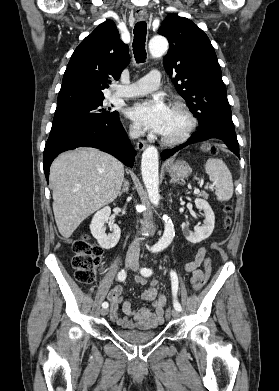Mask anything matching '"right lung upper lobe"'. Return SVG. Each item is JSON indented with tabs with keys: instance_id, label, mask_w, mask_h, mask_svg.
Segmentation results:
<instances>
[{
	"instance_id": "cb5924a9",
	"label": "right lung upper lobe",
	"mask_w": 279,
	"mask_h": 391,
	"mask_svg": "<svg viewBox=\"0 0 279 391\" xmlns=\"http://www.w3.org/2000/svg\"><path fill=\"white\" fill-rule=\"evenodd\" d=\"M129 61V47L120 40L115 23L111 20L103 22L72 54L56 109L104 99L102 91L109 87L112 78H120Z\"/></svg>"
}]
</instances>
